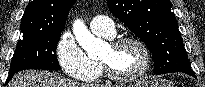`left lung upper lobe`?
<instances>
[{"label": "left lung upper lobe", "mask_w": 205, "mask_h": 87, "mask_svg": "<svg viewBox=\"0 0 205 87\" xmlns=\"http://www.w3.org/2000/svg\"><path fill=\"white\" fill-rule=\"evenodd\" d=\"M111 13L148 47L154 73L190 70L170 0H107Z\"/></svg>", "instance_id": "left-lung-upper-lobe-1"}]
</instances>
